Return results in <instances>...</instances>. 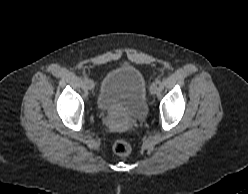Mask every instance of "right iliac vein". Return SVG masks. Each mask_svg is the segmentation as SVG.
<instances>
[{"mask_svg":"<svg viewBox=\"0 0 248 194\" xmlns=\"http://www.w3.org/2000/svg\"><path fill=\"white\" fill-rule=\"evenodd\" d=\"M86 86L89 90H92L94 88V82L92 80H87Z\"/></svg>","mask_w":248,"mask_h":194,"instance_id":"1","label":"right iliac vein"}]
</instances>
